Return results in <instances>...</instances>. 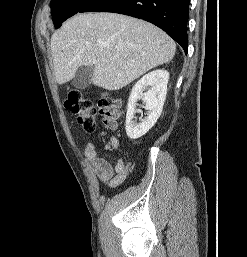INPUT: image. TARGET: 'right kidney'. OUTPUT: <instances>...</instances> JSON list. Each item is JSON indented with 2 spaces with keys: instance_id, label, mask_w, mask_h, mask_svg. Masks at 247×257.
Here are the masks:
<instances>
[{
  "instance_id": "right-kidney-1",
  "label": "right kidney",
  "mask_w": 247,
  "mask_h": 257,
  "mask_svg": "<svg viewBox=\"0 0 247 257\" xmlns=\"http://www.w3.org/2000/svg\"><path fill=\"white\" fill-rule=\"evenodd\" d=\"M169 72L163 69L154 70L144 75L133 87L128 100L125 129L130 139H138L145 135L160 117L167 94ZM149 89L145 92V89ZM142 98L145 101L147 117L140 123L132 121L136 102Z\"/></svg>"
}]
</instances>
